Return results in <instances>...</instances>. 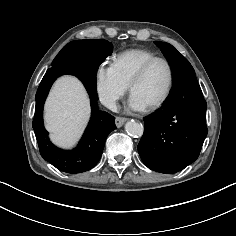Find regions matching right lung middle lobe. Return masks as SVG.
Instances as JSON below:
<instances>
[{"label":"right lung middle lobe","instance_id":"1","mask_svg":"<svg viewBox=\"0 0 236 236\" xmlns=\"http://www.w3.org/2000/svg\"><path fill=\"white\" fill-rule=\"evenodd\" d=\"M77 41H87V40H77ZM91 41L97 43L99 46H101L103 49L105 50H113V46L111 43H109L107 40L104 39H91ZM76 41H72L70 43H68L67 45H70L71 43H74ZM66 45V46H67ZM62 50L58 53V55L56 56V58L53 60L52 62V67H62L63 65V60H62Z\"/></svg>","mask_w":236,"mask_h":236}]
</instances>
